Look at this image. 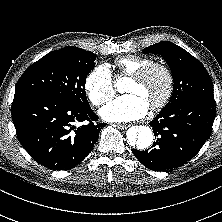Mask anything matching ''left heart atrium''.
<instances>
[{"instance_id": "obj_1", "label": "left heart atrium", "mask_w": 222, "mask_h": 222, "mask_svg": "<svg viewBox=\"0 0 222 222\" xmlns=\"http://www.w3.org/2000/svg\"><path fill=\"white\" fill-rule=\"evenodd\" d=\"M149 106L137 94L118 97L100 110L101 117L109 122H130L143 118Z\"/></svg>"}]
</instances>
